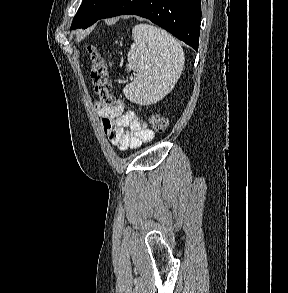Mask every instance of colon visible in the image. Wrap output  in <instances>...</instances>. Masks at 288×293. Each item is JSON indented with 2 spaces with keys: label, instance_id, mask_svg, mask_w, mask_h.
Returning a JSON list of instances; mask_svg holds the SVG:
<instances>
[{
  "label": "colon",
  "instance_id": "obj_1",
  "mask_svg": "<svg viewBox=\"0 0 288 293\" xmlns=\"http://www.w3.org/2000/svg\"><path fill=\"white\" fill-rule=\"evenodd\" d=\"M87 52L92 65L90 77L95 93L99 96L102 104L111 106L115 99L110 92L107 63L94 46L88 45ZM150 124L156 132L163 133L168 127V120L161 114H153L150 118Z\"/></svg>",
  "mask_w": 288,
  "mask_h": 293
}]
</instances>
